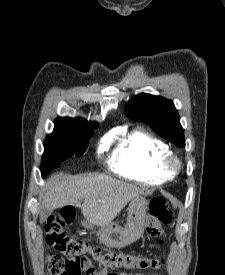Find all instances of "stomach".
I'll use <instances>...</instances> for the list:
<instances>
[{"label": "stomach", "mask_w": 225, "mask_h": 275, "mask_svg": "<svg viewBox=\"0 0 225 275\" xmlns=\"http://www.w3.org/2000/svg\"><path fill=\"white\" fill-rule=\"evenodd\" d=\"M148 206L144 197L133 198L128 207L126 224L121 226L112 222L101 227L96 231L100 242L112 248H123L137 241L144 233Z\"/></svg>", "instance_id": "0dacf381"}]
</instances>
